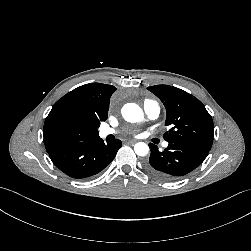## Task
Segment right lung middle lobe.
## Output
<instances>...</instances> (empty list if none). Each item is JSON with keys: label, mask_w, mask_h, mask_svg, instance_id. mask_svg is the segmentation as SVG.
<instances>
[{"label": "right lung middle lobe", "mask_w": 251, "mask_h": 251, "mask_svg": "<svg viewBox=\"0 0 251 251\" xmlns=\"http://www.w3.org/2000/svg\"><path fill=\"white\" fill-rule=\"evenodd\" d=\"M51 133L54 138L65 141L80 139L92 135L86 124L71 115H60L51 124Z\"/></svg>", "instance_id": "obj_1"}]
</instances>
